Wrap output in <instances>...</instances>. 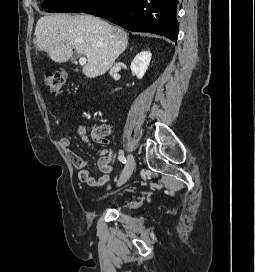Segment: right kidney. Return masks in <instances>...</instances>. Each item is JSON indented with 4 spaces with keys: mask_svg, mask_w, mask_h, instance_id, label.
I'll list each match as a JSON object with an SVG mask.
<instances>
[{
    "mask_svg": "<svg viewBox=\"0 0 255 272\" xmlns=\"http://www.w3.org/2000/svg\"><path fill=\"white\" fill-rule=\"evenodd\" d=\"M152 54L149 51H142L138 53L131 62V70L138 79L143 78L148 69Z\"/></svg>",
    "mask_w": 255,
    "mask_h": 272,
    "instance_id": "ca27d5eb",
    "label": "right kidney"
}]
</instances>
